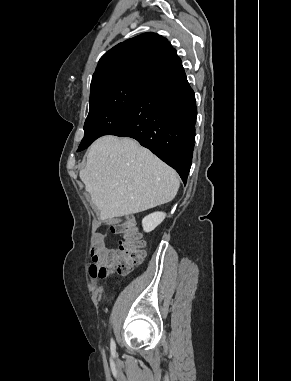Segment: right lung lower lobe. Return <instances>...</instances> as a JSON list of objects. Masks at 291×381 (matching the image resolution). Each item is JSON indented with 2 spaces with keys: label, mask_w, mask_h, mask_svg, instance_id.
Listing matches in <instances>:
<instances>
[{
  "label": "right lung lower lobe",
  "mask_w": 291,
  "mask_h": 381,
  "mask_svg": "<svg viewBox=\"0 0 291 381\" xmlns=\"http://www.w3.org/2000/svg\"><path fill=\"white\" fill-rule=\"evenodd\" d=\"M197 108L181 59L144 78L123 127L131 137L173 167L184 184L192 164Z\"/></svg>",
  "instance_id": "right-lung-lower-lobe-1"
}]
</instances>
